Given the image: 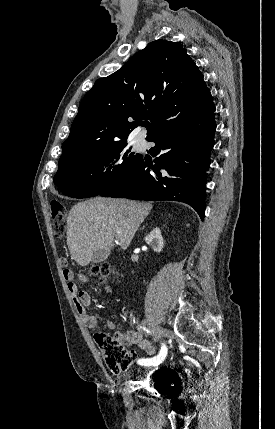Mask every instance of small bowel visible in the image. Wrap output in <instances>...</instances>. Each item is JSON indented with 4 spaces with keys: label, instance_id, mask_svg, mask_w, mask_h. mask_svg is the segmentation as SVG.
Wrapping results in <instances>:
<instances>
[{
    "label": "small bowel",
    "instance_id": "1",
    "mask_svg": "<svg viewBox=\"0 0 275 429\" xmlns=\"http://www.w3.org/2000/svg\"><path fill=\"white\" fill-rule=\"evenodd\" d=\"M63 275L65 281L67 282V287L69 293L73 297V302L76 307V310L81 317L85 326L89 329H94L97 327L98 321L97 318L87 312V307L91 303V296L87 291L79 290L76 283L74 282V273L70 269H64ZM79 281L82 283H86L88 281V277L84 274L79 275ZM109 290V288H107ZM107 326L109 329H115L116 323L113 320H109L107 322ZM116 336L120 337L125 344H135L140 349L145 350L148 354L152 355L155 352V348L152 343L148 340H144L140 333L129 331L125 333L118 332ZM133 358L135 357V353L131 352ZM153 366V365H151Z\"/></svg>",
    "mask_w": 275,
    "mask_h": 429
}]
</instances>
